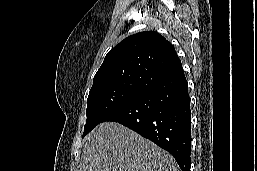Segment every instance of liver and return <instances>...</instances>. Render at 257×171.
Instances as JSON below:
<instances>
[{
    "mask_svg": "<svg viewBox=\"0 0 257 171\" xmlns=\"http://www.w3.org/2000/svg\"><path fill=\"white\" fill-rule=\"evenodd\" d=\"M78 171H181L153 142L116 122H105L84 140Z\"/></svg>",
    "mask_w": 257,
    "mask_h": 171,
    "instance_id": "6515ba94",
    "label": "liver"
}]
</instances>
